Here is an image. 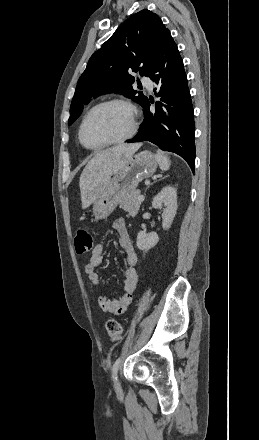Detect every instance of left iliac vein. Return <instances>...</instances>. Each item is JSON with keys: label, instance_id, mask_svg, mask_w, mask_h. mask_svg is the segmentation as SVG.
Returning a JSON list of instances; mask_svg holds the SVG:
<instances>
[{"label": "left iliac vein", "instance_id": "1", "mask_svg": "<svg viewBox=\"0 0 259 440\" xmlns=\"http://www.w3.org/2000/svg\"><path fill=\"white\" fill-rule=\"evenodd\" d=\"M115 388L117 390H120V388H121V384H120V381H119L118 377H116V379H115Z\"/></svg>", "mask_w": 259, "mask_h": 440}]
</instances>
